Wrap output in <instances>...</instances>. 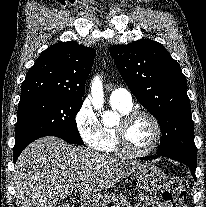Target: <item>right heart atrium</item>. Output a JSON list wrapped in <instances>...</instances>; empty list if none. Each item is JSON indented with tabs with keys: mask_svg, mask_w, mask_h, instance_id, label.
Returning <instances> with one entry per match:
<instances>
[{
	"mask_svg": "<svg viewBox=\"0 0 206 207\" xmlns=\"http://www.w3.org/2000/svg\"><path fill=\"white\" fill-rule=\"evenodd\" d=\"M74 122L81 139L88 147L104 150L105 134L103 125L88 99L84 100L78 107L74 115Z\"/></svg>",
	"mask_w": 206,
	"mask_h": 207,
	"instance_id": "right-heart-atrium-1",
	"label": "right heart atrium"
}]
</instances>
